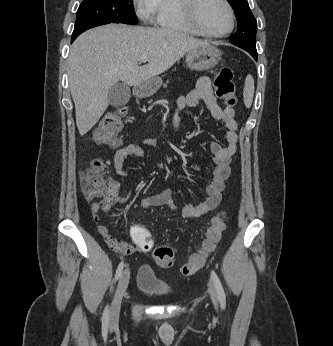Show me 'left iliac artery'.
Segmentation results:
<instances>
[{
  "mask_svg": "<svg viewBox=\"0 0 333 346\" xmlns=\"http://www.w3.org/2000/svg\"><path fill=\"white\" fill-rule=\"evenodd\" d=\"M211 279L215 285V288L217 290V293H218V297H219V301H220V304H221V307L223 309H225V305H226V295H225V292H224V289L222 287V284H221V281L218 277V275L216 274L215 271H211Z\"/></svg>",
  "mask_w": 333,
  "mask_h": 346,
  "instance_id": "1",
  "label": "left iliac artery"
}]
</instances>
